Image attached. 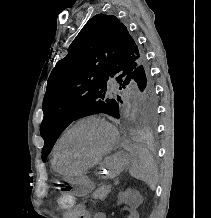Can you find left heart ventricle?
<instances>
[{
  "mask_svg": "<svg viewBox=\"0 0 211 218\" xmlns=\"http://www.w3.org/2000/svg\"><path fill=\"white\" fill-rule=\"evenodd\" d=\"M111 143V132L101 122H87L64 139L60 150L61 163L85 164L96 158Z\"/></svg>",
  "mask_w": 211,
  "mask_h": 218,
  "instance_id": "1",
  "label": "left heart ventricle"
}]
</instances>
